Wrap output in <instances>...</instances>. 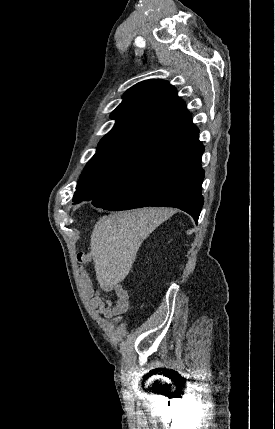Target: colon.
I'll return each mask as SVG.
<instances>
[{
    "label": "colon",
    "mask_w": 275,
    "mask_h": 429,
    "mask_svg": "<svg viewBox=\"0 0 275 429\" xmlns=\"http://www.w3.org/2000/svg\"><path fill=\"white\" fill-rule=\"evenodd\" d=\"M83 258H84V256H83V255H81V256L79 257V259H80V260H83Z\"/></svg>",
    "instance_id": "5ec220e1"
}]
</instances>
